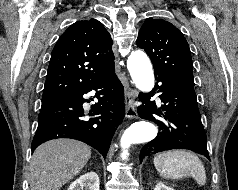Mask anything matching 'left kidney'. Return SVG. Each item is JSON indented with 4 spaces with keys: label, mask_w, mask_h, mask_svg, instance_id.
<instances>
[{
    "label": "left kidney",
    "mask_w": 238,
    "mask_h": 190,
    "mask_svg": "<svg viewBox=\"0 0 238 190\" xmlns=\"http://www.w3.org/2000/svg\"><path fill=\"white\" fill-rule=\"evenodd\" d=\"M154 190H175L171 187H168L167 185H165L162 182L157 183V185L155 186Z\"/></svg>",
    "instance_id": "left-kidney-1"
}]
</instances>
